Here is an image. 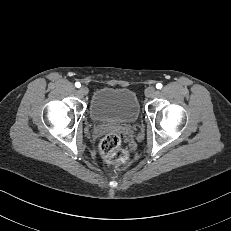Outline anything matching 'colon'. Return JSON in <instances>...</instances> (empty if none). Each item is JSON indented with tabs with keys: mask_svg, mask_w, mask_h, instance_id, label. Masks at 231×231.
I'll use <instances>...</instances> for the list:
<instances>
[{
	"mask_svg": "<svg viewBox=\"0 0 231 231\" xmlns=\"http://www.w3.org/2000/svg\"><path fill=\"white\" fill-rule=\"evenodd\" d=\"M121 144L120 135L116 133L106 135L100 143V153L103 159L108 163L126 164L129 161V154Z\"/></svg>",
	"mask_w": 231,
	"mask_h": 231,
	"instance_id": "5ec220e1",
	"label": "colon"
}]
</instances>
